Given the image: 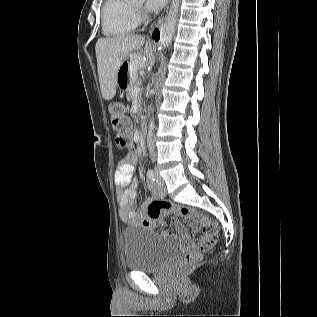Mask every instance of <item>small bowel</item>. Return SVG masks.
<instances>
[{"instance_id":"1","label":"small bowel","mask_w":317,"mask_h":317,"mask_svg":"<svg viewBox=\"0 0 317 317\" xmlns=\"http://www.w3.org/2000/svg\"><path fill=\"white\" fill-rule=\"evenodd\" d=\"M136 160L134 153L125 157L117 166L115 171V184L117 186L118 202L121 220L127 225L140 224L148 228H156L160 223L159 220L151 219L147 215V206L150 199L146 200L143 205L136 209L135 205L139 198L137 190V180L133 178L134 167ZM147 188L152 191L155 198H161L165 195V191L160 189L152 182L147 183ZM178 232L183 238H187L186 230L182 225H177ZM166 234V232H163Z\"/></svg>"}]
</instances>
